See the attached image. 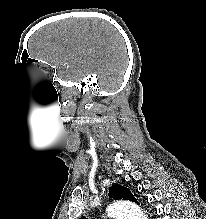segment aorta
<instances>
[{"mask_svg": "<svg viewBox=\"0 0 206 219\" xmlns=\"http://www.w3.org/2000/svg\"><path fill=\"white\" fill-rule=\"evenodd\" d=\"M107 212L114 219H148L145 212L130 201H115L108 206Z\"/></svg>", "mask_w": 206, "mask_h": 219, "instance_id": "762f6f07", "label": "aorta"}]
</instances>
